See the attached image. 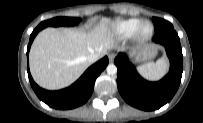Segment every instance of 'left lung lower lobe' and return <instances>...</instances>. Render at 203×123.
<instances>
[{
  "label": "left lung lower lobe",
  "mask_w": 203,
  "mask_h": 123,
  "mask_svg": "<svg viewBox=\"0 0 203 123\" xmlns=\"http://www.w3.org/2000/svg\"><path fill=\"white\" fill-rule=\"evenodd\" d=\"M153 41L165 47L170 60L169 73L158 82L144 80L125 53H119L114 60L119 93L128 104L145 111L159 109L173 98L183 72L182 49L176 31L167 28L156 32Z\"/></svg>",
  "instance_id": "1"
}]
</instances>
